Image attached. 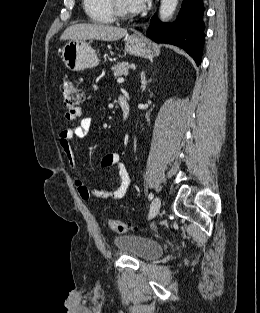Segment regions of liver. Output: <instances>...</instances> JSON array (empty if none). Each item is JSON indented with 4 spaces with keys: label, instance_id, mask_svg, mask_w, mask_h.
<instances>
[{
    "label": "liver",
    "instance_id": "6515ba94",
    "mask_svg": "<svg viewBox=\"0 0 260 313\" xmlns=\"http://www.w3.org/2000/svg\"><path fill=\"white\" fill-rule=\"evenodd\" d=\"M127 35V30L105 24L80 23L68 27L60 40H102L115 41Z\"/></svg>",
    "mask_w": 260,
    "mask_h": 313
}]
</instances>
